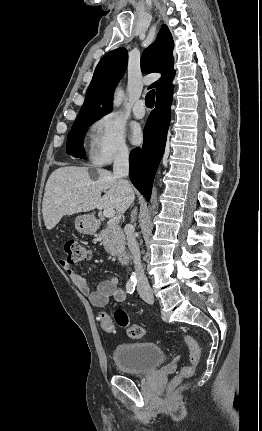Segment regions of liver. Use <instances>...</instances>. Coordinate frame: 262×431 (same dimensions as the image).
<instances>
[{
    "label": "liver",
    "instance_id": "6515ba94",
    "mask_svg": "<svg viewBox=\"0 0 262 431\" xmlns=\"http://www.w3.org/2000/svg\"><path fill=\"white\" fill-rule=\"evenodd\" d=\"M92 178L88 168L67 166L53 171L48 178L42 202L45 226L53 229L65 215L88 212L95 208H113L123 214L135 199L131 186L110 171L96 169ZM102 192H105L101 196Z\"/></svg>",
    "mask_w": 262,
    "mask_h": 431
}]
</instances>
